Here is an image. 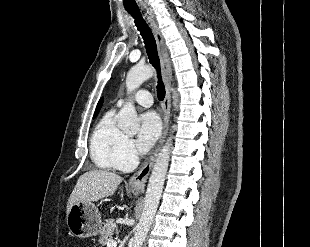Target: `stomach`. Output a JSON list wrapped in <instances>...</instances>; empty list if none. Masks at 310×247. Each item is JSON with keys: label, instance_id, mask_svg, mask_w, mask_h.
I'll return each instance as SVG.
<instances>
[{"label": "stomach", "instance_id": "obj_1", "mask_svg": "<svg viewBox=\"0 0 310 247\" xmlns=\"http://www.w3.org/2000/svg\"><path fill=\"white\" fill-rule=\"evenodd\" d=\"M66 223L70 233L79 238L97 235L102 230L98 208L93 203H76L67 213Z\"/></svg>", "mask_w": 310, "mask_h": 247}]
</instances>
